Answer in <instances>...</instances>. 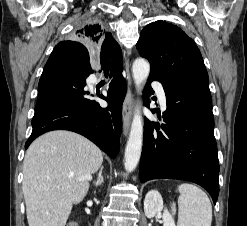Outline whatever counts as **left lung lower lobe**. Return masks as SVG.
<instances>
[{
	"mask_svg": "<svg viewBox=\"0 0 247 226\" xmlns=\"http://www.w3.org/2000/svg\"><path fill=\"white\" fill-rule=\"evenodd\" d=\"M162 83L167 110L165 124L145 118L140 181L180 179L197 183L211 195L214 204L219 193V161L214 137V117L208 79L184 75L164 83L150 75L144 104L153 94L150 82ZM153 113L155 109L151 110ZM160 118V113L158 112Z\"/></svg>",
	"mask_w": 247,
	"mask_h": 226,
	"instance_id": "0a47b994",
	"label": "left lung lower lobe"
}]
</instances>
